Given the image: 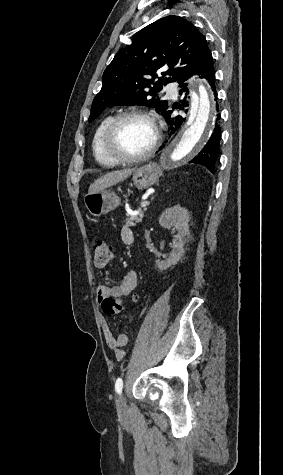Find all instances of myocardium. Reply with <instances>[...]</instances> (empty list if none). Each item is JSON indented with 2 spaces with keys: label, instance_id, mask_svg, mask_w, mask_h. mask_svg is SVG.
<instances>
[{
  "label": "myocardium",
  "instance_id": "obj_1",
  "mask_svg": "<svg viewBox=\"0 0 283 475\" xmlns=\"http://www.w3.org/2000/svg\"><path fill=\"white\" fill-rule=\"evenodd\" d=\"M132 117H142V118L150 120L153 123L156 129V136H155L153 145L150 147V149L146 153L134 158L113 157L109 155L108 148L110 144L113 142L114 135H115L118 125L125 119L132 118ZM160 144H161V126H160L158 115L152 111L148 112V111H143V110H131V111L120 113L119 115L113 118V120L110 122V124L108 125V127L106 128L104 132L102 142H101V149L107 155L106 162H135V165H140L148 161L150 158L154 156V154L157 152L158 148L160 147Z\"/></svg>",
  "mask_w": 283,
  "mask_h": 475
}]
</instances>
